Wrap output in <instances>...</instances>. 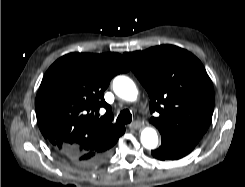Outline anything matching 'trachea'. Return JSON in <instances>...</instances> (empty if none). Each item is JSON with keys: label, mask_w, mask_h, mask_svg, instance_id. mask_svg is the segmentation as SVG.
<instances>
[{"label": "trachea", "mask_w": 245, "mask_h": 187, "mask_svg": "<svg viewBox=\"0 0 245 187\" xmlns=\"http://www.w3.org/2000/svg\"><path fill=\"white\" fill-rule=\"evenodd\" d=\"M131 121H132V114L127 109L121 111L116 119V122L119 124H128L131 123Z\"/></svg>", "instance_id": "1"}]
</instances>
